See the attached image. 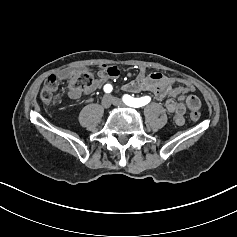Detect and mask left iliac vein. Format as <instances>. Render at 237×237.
<instances>
[{
    "instance_id": "4c4485c4",
    "label": "left iliac vein",
    "mask_w": 237,
    "mask_h": 237,
    "mask_svg": "<svg viewBox=\"0 0 237 237\" xmlns=\"http://www.w3.org/2000/svg\"><path fill=\"white\" fill-rule=\"evenodd\" d=\"M111 103L117 107H126L125 103L122 100L112 96H111Z\"/></svg>"
}]
</instances>
